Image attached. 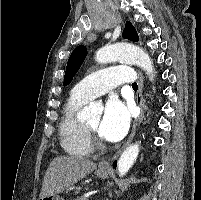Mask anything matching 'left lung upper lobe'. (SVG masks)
<instances>
[{
    "label": "left lung upper lobe",
    "instance_id": "left-lung-upper-lobe-1",
    "mask_svg": "<svg viewBox=\"0 0 201 200\" xmlns=\"http://www.w3.org/2000/svg\"><path fill=\"white\" fill-rule=\"evenodd\" d=\"M122 37L129 39L131 41H138L139 37L138 34L130 22H126L124 31L122 33ZM87 55V48L83 45L78 46L70 55V58L67 63L66 72L64 76V83L63 85H68L75 73L79 70L81 64L83 63L85 56Z\"/></svg>",
    "mask_w": 201,
    "mask_h": 200
}]
</instances>
